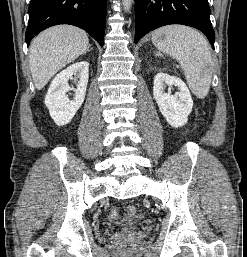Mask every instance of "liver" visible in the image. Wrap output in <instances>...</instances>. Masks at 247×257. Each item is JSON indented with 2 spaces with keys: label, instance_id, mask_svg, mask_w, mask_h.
Listing matches in <instances>:
<instances>
[{
  "label": "liver",
  "instance_id": "1",
  "mask_svg": "<svg viewBox=\"0 0 247 257\" xmlns=\"http://www.w3.org/2000/svg\"><path fill=\"white\" fill-rule=\"evenodd\" d=\"M90 47L87 33L71 25H57L42 31L31 43L29 64L33 82L41 90L67 64Z\"/></svg>",
  "mask_w": 247,
  "mask_h": 257
}]
</instances>
